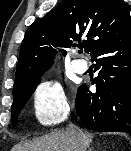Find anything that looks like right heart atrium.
<instances>
[{
  "label": "right heart atrium",
  "instance_id": "1",
  "mask_svg": "<svg viewBox=\"0 0 131 151\" xmlns=\"http://www.w3.org/2000/svg\"><path fill=\"white\" fill-rule=\"evenodd\" d=\"M33 109L41 125L54 126L62 122L69 112V103L61 84L54 80L38 84L33 95Z\"/></svg>",
  "mask_w": 131,
  "mask_h": 151
}]
</instances>
